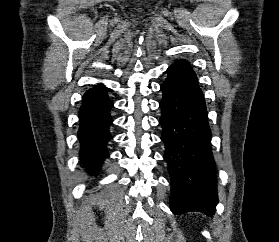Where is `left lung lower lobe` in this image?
<instances>
[{
  "mask_svg": "<svg viewBox=\"0 0 279 242\" xmlns=\"http://www.w3.org/2000/svg\"><path fill=\"white\" fill-rule=\"evenodd\" d=\"M167 72L159 122L171 181V211L211 215L218 202L217 173L204 96L186 60L175 62Z\"/></svg>",
  "mask_w": 279,
  "mask_h": 242,
  "instance_id": "obj_1",
  "label": "left lung lower lobe"
}]
</instances>
